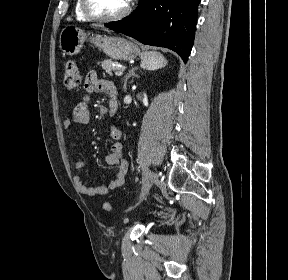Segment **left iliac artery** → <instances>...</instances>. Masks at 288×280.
<instances>
[{
	"instance_id": "44dca946",
	"label": "left iliac artery",
	"mask_w": 288,
	"mask_h": 280,
	"mask_svg": "<svg viewBox=\"0 0 288 280\" xmlns=\"http://www.w3.org/2000/svg\"><path fill=\"white\" fill-rule=\"evenodd\" d=\"M137 183H138V184L135 185L134 191H135V192H140V191H141V188H142V187H145V182H144L143 179H138V180H137Z\"/></svg>"
}]
</instances>
